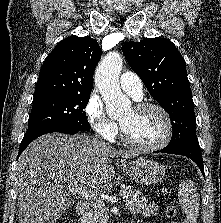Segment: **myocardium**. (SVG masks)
Instances as JSON below:
<instances>
[{
  "instance_id": "1",
  "label": "myocardium",
  "mask_w": 221,
  "mask_h": 223,
  "mask_svg": "<svg viewBox=\"0 0 221 223\" xmlns=\"http://www.w3.org/2000/svg\"><path fill=\"white\" fill-rule=\"evenodd\" d=\"M134 110L137 111H142V110H155L160 115L163 117L166 125L165 129V134L162 137V139L157 142L156 144L152 145H144V144H139L134 141H132L128 136L125 131L124 126L120 123V137L122 142L129 148L138 150V151H144V152H154V151H159L163 148H165L170 141L172 140L173 137V131H174V126L173 122L171 119L170 114L167 112L165 108H163L161 105L155 104V103H139L134 106Z\"/></svg>"
}]
</instances>
